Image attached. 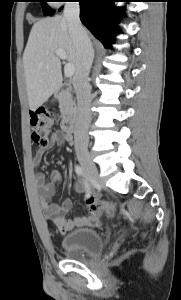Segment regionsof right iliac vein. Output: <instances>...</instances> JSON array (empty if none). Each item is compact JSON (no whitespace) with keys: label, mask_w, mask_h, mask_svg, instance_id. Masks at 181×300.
<instances>
[{"label":"right iliac vein","mask_w":181,"mask_h":300,"mask_svg":"<svg viewBox=\"0 0 181 300\" xmlns=\"http://www.w3.org/2000/svg\"><path fill=\"white\" fill-rule=\"evenodd\" d=\"M77 158L83 169L85 170L87 176L93 181H98V170L95 163L92 161L90 154L88 152H78Z\"/></svg>","instance_id":"right-iliac-vein-1"}]
</instances>
